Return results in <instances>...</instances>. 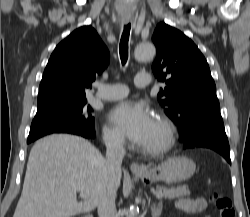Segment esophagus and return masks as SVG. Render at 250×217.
Wrapping results in <instances>:
<instances>
[{
  "label": "esophagus",
  "mask_w": 250,
  "mask_h": 217,
  "mask_svg": "<svg viewBox=\"0 0 250 217\" xmlns=\"http://www.w3.org/2000/svg\"><path fill=\"white\" fill-rule=\"evenodd\" d=\"M124 23H128L129 22V19H124L123 20ZM130 170L132 172H142L144 171V167L141 166L140 164L136 163V162H133L131 165H130Z\"/></svg>",
  "instance_id": "34e87169"
}]
</instances>
